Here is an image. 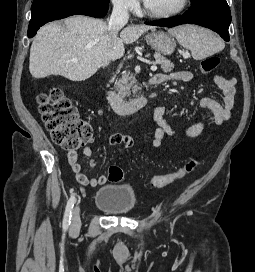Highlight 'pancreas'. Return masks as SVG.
Here are the masks:
<instances>
[{"label": "pancreas", "instance_id": "pancreas-1", "mask_svg": "<svg viewBox=\"0 0 255 272\" xmlns=\"http://www.w3.org/2000/svg\"><path fill=\"white\" fill-rule=\"evenodd\" d=\"M155 60L160 64L161 69L165 72H171L174 64L162 56L160 53L154 54ZM117 89L122 97H130L131 92L136 95L141 88L138 86L135 77L130 72H123L122 77L117 82Z\"/></svg>", "mask_w": 255, "mask_h": 272}]
</instances>
